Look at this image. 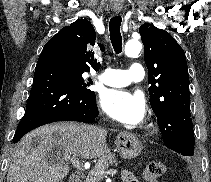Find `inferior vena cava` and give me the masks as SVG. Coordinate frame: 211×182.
<instances>
[{
  "instance_id": "inferior-vena-cava-1",
  "label": "inferior vena cava",
  "mask_w": 211,
  "mask_h": 182,
  "mask_svg": "<svg viewBox=\"0 0 211 182\" xmlns=\"http://www.w3.org/2000/svg\"><path fill=\"white\" fill-rule=\"evenodd\" d=\"M96 133L97 134H102L103 133V127L102 126H97L96 127Z\"/></svg>"
}]
</instances>
